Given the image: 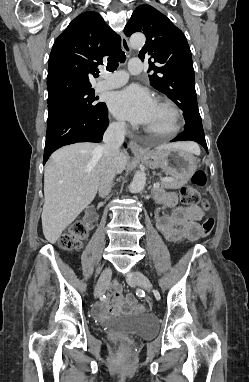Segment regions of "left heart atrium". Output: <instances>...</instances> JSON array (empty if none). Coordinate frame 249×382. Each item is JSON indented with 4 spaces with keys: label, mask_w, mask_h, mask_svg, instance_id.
Wrapping results in <instances>:
<instances>
[{
    "label": "left heart atrium",
    "mask_w": 249,
    "mask_h": 382,
    "mask_svg": "<svg viewBox=\"0 0 249 382\" xmlns=\"http://www.w3.org/2000/svg\"><path fill=\"white\" fill-rule=\"evenodd\" d=\"M108 104L117 118L142 125L149 121L156 106L151 93L138 85H131L114 92Z\"/></svg>",
    "instance_id": "1"
}]
</instances>
